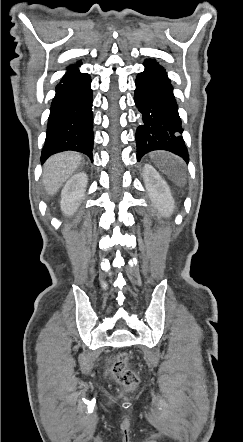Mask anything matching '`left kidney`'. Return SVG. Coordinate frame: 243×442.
Returning <instances> with one entry per match:
<instances>
[{"label":"left kidney","instance_id":"1","mask_svg":"<svg viewBox=\"0 0 243 442\" xmlns=\"http://www.w3.org/2000/svg\"><path fill=\"white\" fill-rule=\"evenodd\" d=\"M143 178L150 199L159 213L169 217L175 209L170 189L159 173L149 164L144 165Z\"/></svg>","mask_w":243,"mask_h":442}]
</instances>
